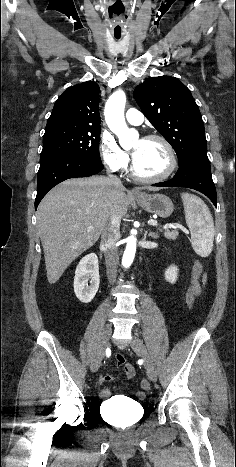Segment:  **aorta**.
Returning a JSON list of instances; mask_svg holds the SVG:
<instances>
[{
  "label": "aorta",
  "instance_id": "obj_1",
  "mask_svg": "<svg viewBox=\"0 0 236 467\" xmlns=\"http://www.w3.org/2000/svg\"><path fill=\"white\" fill-rule=\"evenodd\" d=\"M125 104L126 95L124 91L117 90L109 97L104 109L106 123L110 130L118 136L122 145L124 140L129 138V129L124 117ZM136 241V236L131 232V235L126 239L127 244L122 258V265L125 268L129 267L134 260Z\"/></svg>",
  "mask_w": 236,
  "mask_h": 467
}]
</instances>
